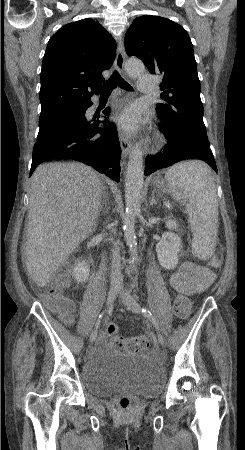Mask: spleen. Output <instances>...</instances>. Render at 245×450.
<instances>
[{
    "mask_svg": "<svg viewBox=\"0 0 245 450\" xmlns=\"http://www.w3.org/2000/svg\"><path fill=\"white\" fill-rule=\"evenodd\" d=\"M165 179L173 198L185 205L193 233V254L202 260L209 259L215 252L219 215L211 169L201 161L181 162L168 169Z\"/></svg>",
    "mask_w": 245,
    "mask_h": 450,
    "instance_id": "spleen-1",
    "label": "spleen"
}]
</instances>
